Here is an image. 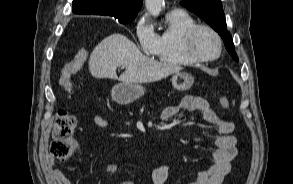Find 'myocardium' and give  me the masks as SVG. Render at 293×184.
<instances>
[{
    "label": "myocardium",
    "mask_w": 293,
    "mask_h": 184,
    "mask_svg": "<svg viewBox=\"0 0 293 184\" xmlns=\"http://www.w3.org/2000/svg\"><path fill=\"white\" fill-rule=\"evenodd\" d=\"M202 30H205V31H208L209 33H211L215 37V39L217 41L218 51L213 56L203 57V56L198 55L194 51V48H193L194 39H195L196 35ZM182 48H183L184 54L189 59H191L193 62H195V63H206V62L214 61V60L218 59L221 56V53H222V50H223V42H222V39H221L220 35L212 27H210L208 25H204V24H196L195 26L190 28L185 33V35L183 37V41H182Z\"/></svg>",
    "instance_id": "myocardium-1"
}]
</instances>
